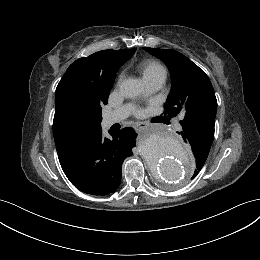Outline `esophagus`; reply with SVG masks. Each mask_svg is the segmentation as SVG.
<instances>
[{
	"instance_id": "1",
	"label": "esophagus",
	"mask_w": 260,
	"mask_h": 260,
	"mask_svg": "<svg viewBox=\"0 0 260 260\" xmlns=\"http://www.w3.org/2000/svg\"><path fill=\"white\" fill-rule=\"evenodd\" d=\"M148 126H149V124L147 122H137L135 124V127H136L137 130L145 129Z\"/></svg>"
}]
</instances>
